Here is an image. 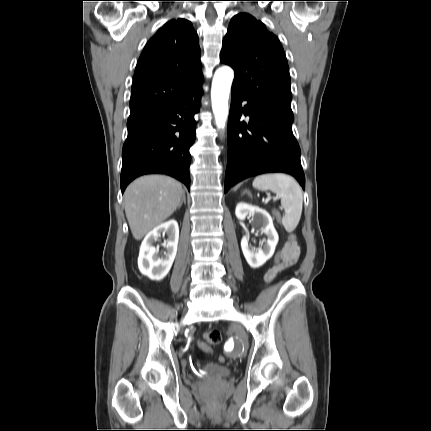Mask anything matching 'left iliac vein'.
I'll use <instances>...</instances> for the list:
<instances>
[{"label":"left iliac vein","mask_w":431,"mask_h":431,"mask_svg":"<svg viewBox=\"0 0 431 431\" xmlns=\"http://www.w3.org/2000/svg\"><path fill=\"white\" fill-rule=\"evenodd\" d=\"M237 334L240 336L243 342V352L241 353V356H244L247 349V338L245 333L240 329L237 330Z\"/></svg>","instance_id":"1"}]
</instances>
